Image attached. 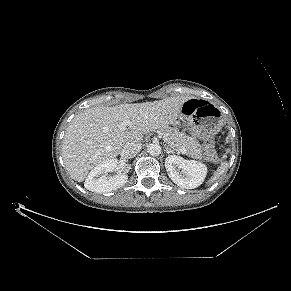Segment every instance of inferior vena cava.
Wrapping results in <instances>:
<instances>
[{
    "label": "inferior vena cava",
    "mask_w": 291,
    "mask_h": 291,
    "mask_svg": "<svg viewBox=\"0 0 291 291\" xmlns=\"http://www.w3.org/2000/svg\"><path fill=\"white\" fill-rule=\"evenodd\" d=\"M142 146L138 142L134 143H128L124 145V147L121 150V156L126 159L133 158L140 150Z\"/></svg>",
    "instance_id": "inferior-vena-cava-1"
}]
</instances>
